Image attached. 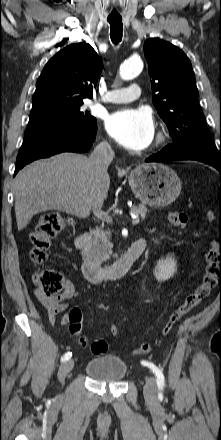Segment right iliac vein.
Here are the masks:
<instances>
[{
    "label": "right iliac vein",
    "mask_w": 221,
    "mask_h": 440,
    "mask_svg": "<svg viewBox=\"0 0 221 440\" xmlns=\"http://www.w3.org/2000/svg\"><path fill=\"white\" fill-rule=\"evenodd\" d=\"M74 366V361L73 360H69L67 362H64L58 372V378L59 381L64 384L65 378L67 376V374L71 371V369Z\"/></svg>",
    "instance_id": "1"
}]
</instances>
